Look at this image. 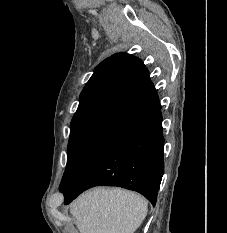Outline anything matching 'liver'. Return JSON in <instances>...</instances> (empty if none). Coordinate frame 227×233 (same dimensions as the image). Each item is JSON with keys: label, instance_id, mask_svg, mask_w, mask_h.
<instances>
[{"label": "liver", "instance_id": "1", "mask_svg": "<svg viewBox=\"0 0 227 233\" xmlns=\"http://www.w3.org/2000/svg\"><path fill=\"white\" fill-rule=\"evenodd\" d=\"M147 212L145 198L120 188L87 191L70 205L80 233H134Z\"/></svg>", "mask_w": 227, "mask_h": 233}]
</instances>
